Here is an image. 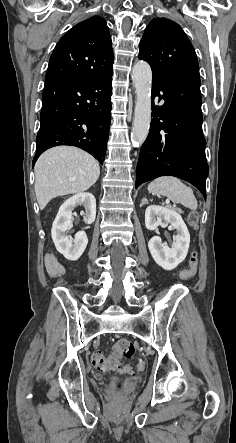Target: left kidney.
<instances>
[{
	"instance_id": "5707ae66",
	"label": "left kidney",
	"mask_w": 236,
	"mask_h": 443,
	"mask_svg": "<svg viewBox=\"0 0 236 443\" xmlns=\"http://www.w3.org/2000/svg\"><path fill=\"white\" fill-rule=\"evenodd\" d=\"M169 223L177 230L173 235V246L163 244L159 236H154L148 242L149 251L154 261L165 270L175 269L187 256L190 234L180 214L169 208L150 205L145 211V225L148 230H156L158 226Z\"/></svg>"
}]
</instances>
